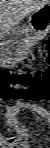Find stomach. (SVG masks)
Returning a JSON list of instances; mask_svg holds the SVG:
<instances>
[{
  "mask_svg": "<svg viewBox=\"0 0 50 148\" xmlns=\"http://www.w3.org/2000/svg\"><path fill=\"white\" fill-rule=\"evenodd\" d=\"M29 28L32 36L24 42H6L1 62L5 64L17 63L27 57L30 48L43 39L50 31V5H44L42 8L34 11L29 17Z\"/></svg>",
  "mask_w": 50,
  "mask_h": 148,
  "instance_id": "1",
  "label": "stomach"
}]
</instances>
